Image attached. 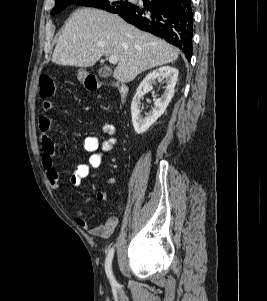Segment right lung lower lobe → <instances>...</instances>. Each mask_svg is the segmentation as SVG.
Wrapping results in <instances>:
<instances>
[{"label": "right lung lower lobe", "instance_id": "obj_1", "mask_svg": "<svg viewBox=\"0 0 267 301\" xmlns=\"http://www.w3.org/2000/svg\"><path fill=\"white\" fill-rule=\"evenodd\" d=\"M141 30L161 37L192 56L193 12L191 0H143L118 13Z\"/></svg>", "mask_w": 267, "mask_h": 301}]
</instances>
